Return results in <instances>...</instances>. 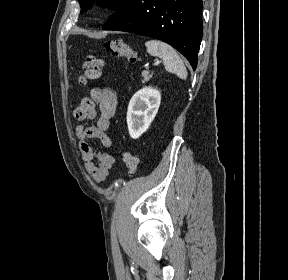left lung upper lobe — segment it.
I'll list each match as a JSON object with an SVG mask.
<instances>
[{
	"label": "left lung upper lobe",
	"mask_w": 288,
	"mask_h": 280,
	"mask_svg": "<svg viewBox=\"0 0 288 280\" xmlns=\"http://www.w3.org/2000/svg\"><path fill=\"white\" fill-rule=\"evenodd\" d=\"M81 5V13L86 12L95 2L97 5L107 6L116 12L109 17L113 20L121 16L133 0H78Z\"/></svg>",
	"instance_id": "5c2ea615"
}]
</instances>
